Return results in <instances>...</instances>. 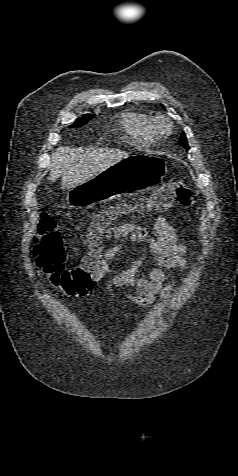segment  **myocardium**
Returning <instances> with one entry per match:
<instances>
[{
	"label": "myocardium",
	"instance_id": "myocardium-1",
	"mask_svg": "<svg viewBox=\"0 0 238 476\" xmlns=\"http://www.w3.org/2000/svg\"><path fill=\"white\" fill-rule=\"evenodd\" d=\"M152 128L156 136L167 138L173 132V123L167 117L158 116L152 120Z\"/></svg>",
	"mask_w": 238,
	"mask_h": 476
}]
</instances>
